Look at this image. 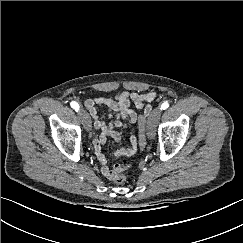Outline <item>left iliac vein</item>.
<instances>
[{
	"label": "left iliac vein",
	"instance_id": "1",
	"mask_svg": "<svg viewBox=\"0 0 243 243\" xmlns=\"http://www.w3.org/2000/svg\"><path fill=\"white\" fill-rule=\"evenodd\" d=\"M161 116V109L160 108H155L147 121V136L149 139H154L156 135V125Z\"/></svg>",
	"mask_w": 243,
	"mask_h": 243
}]
</instances>
